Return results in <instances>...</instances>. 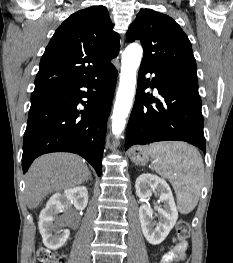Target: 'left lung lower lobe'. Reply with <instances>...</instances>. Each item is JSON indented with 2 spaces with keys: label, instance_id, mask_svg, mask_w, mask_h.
<instances>
[{
  "label": "left lung lower lobe",
  "instance_id": "obj_1",
  "mask_svg": "<svg viewBox=\"0 0 233 263\" xmlns=\"http://www.w3.org/2000/svg\"><path fill=\"white\" fill-rule=\"evenodd\" d=\"M147 73L155 74L150 79ZM157 88L160 99L145 89ZM156 105L152 106L151 103ZM186 141L205 153L201 98L196 77L159 70L141 63L134 107L127 126L126 149L156 141Z\"/></svg>",
  "mask_w": 233,
  "mask_h": 263
}]
</instances>
